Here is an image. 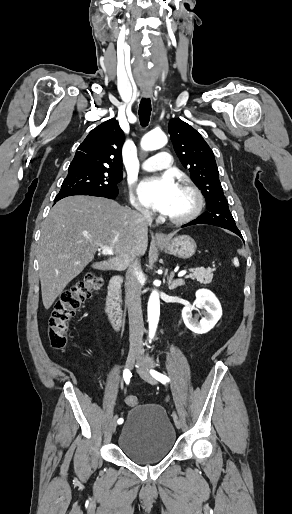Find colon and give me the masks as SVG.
<instances>
[{
    "mask_svg": "<svg viewBox=\"0 0 292 514\" xmlns=\"http://www.w3.org/2000/svg\"><path fill=\"white\" fill-rule=\"evenodd\" d=\"M101 278L89 273L86 277L65 290L55 304V309L48 322V338L51 347L55 350H63L68 342V329L75 310L90 295L99 289ZM125 403L130 407L138 405V398L127 396Z\"/></svg>",
    "mask_w": 292,
    "mask_h": 514,
    "instance_id": "colon-1",
    "label": "colon"
}]
</instances>
